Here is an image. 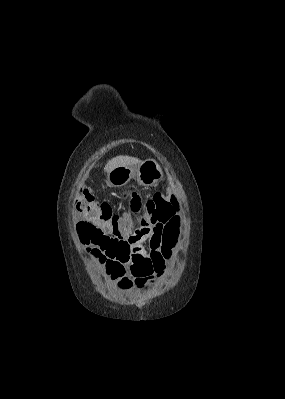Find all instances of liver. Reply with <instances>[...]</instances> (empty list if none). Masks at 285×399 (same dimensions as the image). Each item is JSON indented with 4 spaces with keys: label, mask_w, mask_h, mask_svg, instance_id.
Returning <instances> with one entry per match:
<instances>
[{
    "label": "liver",
    "mask_w": 285,
    "mask_h": 399,
    "mask_svg": "<svg viewBox=\"0 0 285 399\" xmlns=\"http://www.w3.org/2000/svg\"><path fill=\"white\" fill-rule=\"evenodd\" d=\"M141 164V161L138 158L130 157V156H117L108 161L105 165L104 170L109 173L116 167L119 166H133L136 167Z\"/></svg>",
    "instance_id": "1"
}]
</instances>
